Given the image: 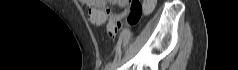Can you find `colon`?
<instances>
[{"label":"colon","instance_id":"1","mask_svg":"<svg viewBox=\"0 0 238 70\" xmlns=\"http://www.w3.org/2000/svg\"><path fill=\"white\" fill-rule=\"evenodd\" d=\"M129 4V15L127 20L129 24L134 25L140 20L144 12H151L154 9L156 1L145 0L142 3L138 0H130ZM119 27V19H108L107 33L111 38L115 37Z\"/></svg>","mask_w":238,"mask_h":70}]
</instances>
